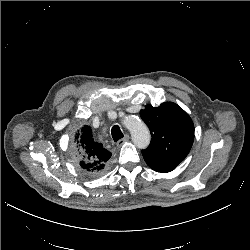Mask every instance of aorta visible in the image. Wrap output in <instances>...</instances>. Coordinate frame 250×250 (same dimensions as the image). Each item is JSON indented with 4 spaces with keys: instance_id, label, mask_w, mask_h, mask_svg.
Returning <instances> with one entry per match:
<instances>
[{
    "instance_id": "aorta-1",
    "label": "aorta",
    "mask_w": 250,
    "mask_h": 250,
    "mask_svg": "<svg viewBox=\"0 0 250 250\" xmlns=\"http://www.w3.org/2000/svg\"><path fill=\"white\" fill-rule=\"evenodd\" d=\"M123 125L130 131L132 141L138 148L144 149L149 145V130L140 119L128 117L123 120Z\"/></svg>"
}]
</instances>
